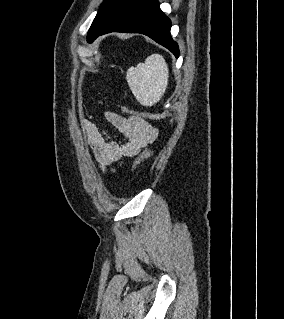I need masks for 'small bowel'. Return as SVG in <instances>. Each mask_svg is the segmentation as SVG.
<instances>
[{"mask_svg":"<svg viewBox=\"0 0 284 319\" xmlns=\"http://www.w3.org/2000/svg\"><path fill=\"white\" fill-rule=\"evenodd\" d=\"M104 118L123 134V141H116L108 132L100 130L96 124L89 120H83L81 123L88 144L102 171L121 162L125 157L138 155L158 136L157 129L140 117H124L114 112H105Z\"/></svg>","mask_w":284,"mask_h":319,"instance_id":"1","label":"small bowel"}]
</instances>
